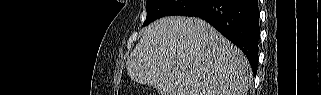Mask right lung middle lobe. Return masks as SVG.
I'll return each instance as SVG.
<instances>
[{"label": "right lung middle lobe", "instance_id": "1", "mask_svg": "<svg viewBox=\"0 0 321 95\" xmlns=\"http://www.w3.org/2000/svg\"><path fill=\"white\" fill-rule=\"evenodd\" d=\"M205 2L207 0H147V17L143 26L164 16H189Z\"/></svg>", "mask_w": 321, "mask_h": 95}]
</instances>
